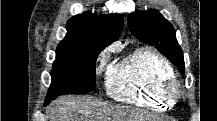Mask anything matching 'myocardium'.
Returning a JSON list of instances; mask_svg holds the SVG:
<instances>
[{"label": "myocardium", "mask_w": 217, "mask_h": 121, "mask_svg": "<svg viewBox=\"0 0 217 121\" xmlns=\"http://www.w3.org/2000/svg\"><path fill=\"white\" fill-rule=\"evenodd\" d=\"M165 92L171 99H178L180 97V87L178 81L170 79L166 84Z\"/></svg>", "instance_id": "1"}]
</instances>
